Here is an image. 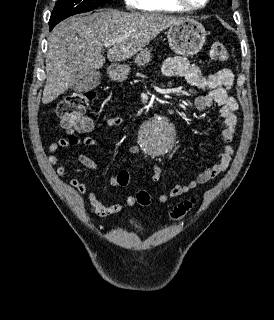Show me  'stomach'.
I'll use <instances>...</instances> for the list:
<instances>
[{"mask_svg": "<svg viewBox=\"0 0 274 320\" xmlns=\"http://www.w3.org/2000/svg\"><path fill=\"white\" fill-rule=\"evenodd\" d=\"M167 38L169 48L175 54H179V56H195L202 50L206 42V32L204 26L197 20L181 18L173 26H169ZM135 62L138 66H146L148 62H151L149 50H141L137 54ZM129 70L128 66L112 64L110 68H107V74L115 82H123V80H126Z\"/></svg>", "mask_w": 274, "mask_h": 320, "instance_id": "0dacf381", "label": "stomach"}]
</instances>
